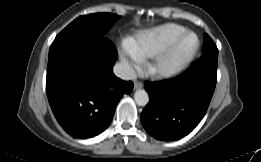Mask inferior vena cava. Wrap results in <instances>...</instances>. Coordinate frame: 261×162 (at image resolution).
Listing matches in <instances>:
<instances>
[{
    "label": "inferior vena cava",
    "mask_w": 261,
    "mask_h": 162,
    "mask_svg": "<svg viewBox=\"0 0 261 162\" xmlns=\"http://www.w3.org/2000/svg\"><path fill=\"white\" fill-rule=\"evenodd\" d=\"M114 74L123 80H134L137 74L133 67L127 62H121L114 66Z\"/></svg>",
    "instance_id": "obj_1"
}]
</instances>
